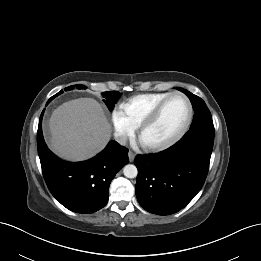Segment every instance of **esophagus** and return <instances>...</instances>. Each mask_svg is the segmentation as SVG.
I'll return each mask as SVG.
<instances>
[{
	"instance_id": "obj_1",
	"label": "esophagus",
	"mask_w": 261,
	"mask_h": 261,
	"mask_svg": "<svg viewBox=\"0 0 261 261\" xmlns=\"http://www.w3.org/2000/svg\"><path fill=\"white\" fill-rule=\"evenodd\" d=\"M128 157H129L130 162H132L134 160V158H135V153L132 152V151H129L128 152Z\"/></svg>"
}]
</instances>
